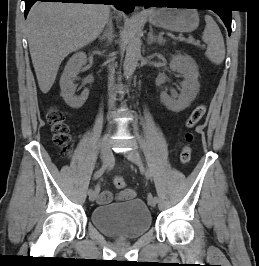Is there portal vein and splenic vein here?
Wrapping results in <instances>:
<instances>
[{
    "label": "portal vein and splenic vein",
    "instance_id": "portal-vein-and-splenic-vein-1",
    "mask_svg": "<svg viewBox=\"0 0 259 266\" xmlns=\"http://www.w3.org/2000/svg\"><path fill=\"white\" fill-rule=\"evenodd\" d=\"M179 39V41H185V42H187V43H192V44H194V45H198V43H196L194 40H192V39H185V38H178ZM202 47H204V46H202Z\"/></svg>",
    "mask_w": 259,
    "mask_h": 266
}]
</instances>
